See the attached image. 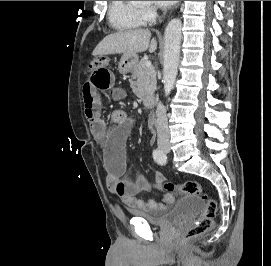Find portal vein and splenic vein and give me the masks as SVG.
Returning <instances> with one entry per match:
<instances>
[{
  "label": "portal vein and splenic vein",
  "mask_w": 271,
  "mask_h": 266,
  "mask_svg": "<svg viewBox=\"0 0 271 266\" xmlns=\"http://www.w3.org/2000/svg\"><path fill=\"white\" fill-rule=\"evenodd\" d=\"M145 65H146V67H147V68L152 67V64H151V62H150V61H147Z\"/></svg>",
  "instance_id": "1"
}]
</instances>
